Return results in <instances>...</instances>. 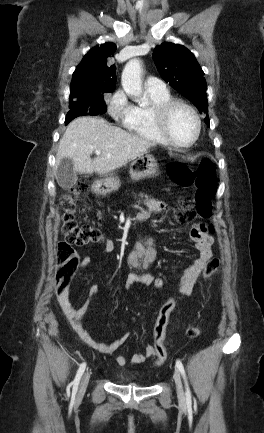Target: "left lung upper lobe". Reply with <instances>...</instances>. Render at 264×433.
I'll use <instances>...</instances> for the list:
<instances>
[{
    "label": "left lung upper lobe",
    "mask_w": 264,
    "mask_h": 433,
    "mask_svg": "<svg viewBox=\"0 0 264 433\" xmlns=\"http://www.w3.org/2000/svg\"><path fill=\"white\" fill-rule=\"evenodd\" d=\"M154 61L162 78L188 98L200 113H208L204 72L194 55L184 46L165 42L157 46ZM209 126V117H205Z\"/></svg>",
    "instance_id": "obj_1"
}]
</instances>
